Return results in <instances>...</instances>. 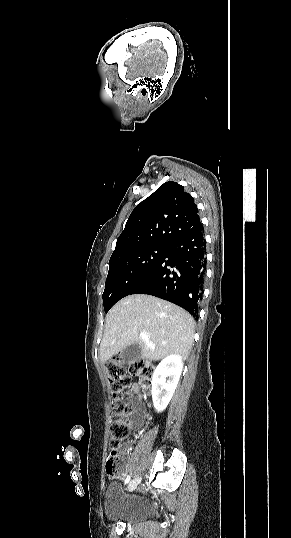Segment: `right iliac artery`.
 <instances>
[{"label": "right iliac artery", "instance_id": "1", "mask_svg": "<svg viewBox=\"0 0 291 538\" xmlns=\"http://www.w3.org/2000/svg\"><path fill=\"white\" fill-rule=\"evenodd\" d=\"M130 481V475H128L125 479V484H127Z\"/></svg>", "mask_w": 291, "mask_h": 538}]
</instances>
